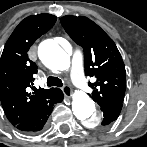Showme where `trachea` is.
I'll return each mask as SVG.
<instances>
[{"label":"trachea","mask_w":147,"mask_h":147,"mask_svg":"<svg viewBox=\"0 0 147 147\" xmlns=\"http://www.w3.org/2000/svg\"><path fill=\"white\" fill-rule=\"evenodd\" d=\"M47 86H49V87H51V86L62 87L63 83H62L61 79H59L57 77L49 76L47 78Z\"/></svg>","instance_id":"trachea-1"}]
</instances>
